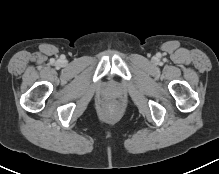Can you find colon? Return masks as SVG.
<instances>
[{
    "label": "colon",
    "instance_id": "obj_1",
    "mask_svg": "<svg viewBox=\"0 0 219 174\" xmlns=\"http://www.w3.org/2000/svg\"><path fill=\"white\" fill-rule=\"evenodd\" d=\"M104 114L107 115V116H113L117 110H118V106L116 103L114 102H111V103H107L105 106H104Z\"/></svg>",
    "mask_w": 219,
    "mask_h": 174
}]
</instances>
